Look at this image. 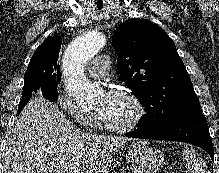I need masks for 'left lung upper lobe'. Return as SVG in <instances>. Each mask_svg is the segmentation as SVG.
<instances>
[{
    "instance_id": "left-lung-upper-lobe-1",
    "label": "left lung upper lobe",
    "mask_w": 219,
    "mask_h": 173,
    "mask_svg": "<svg viewBox=\"0 0 219 173\" xmlns=\"http://www.w3.org/2000/svg\"><path fill=\"white\" fill-rule=\"evenodd\" d=\"M112 43L121 79L146 109L137 129L158 130L201 112L184 63L162 28L148 20L130 19L116 29Z\"/></svg>"
}]
</instances>
